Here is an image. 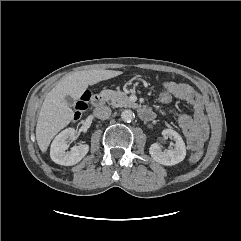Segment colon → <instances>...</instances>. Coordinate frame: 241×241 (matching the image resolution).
Returning a JSON list of instances; mask_svg holds the SVG:
<instances>
[{
	"label": "colon",
	"instance_id": "obj_1",
	"mask_svg": "<svg viewBox=\"0 0 241 241\" xmlns=\"http://www.w3.org/2000/svg\"><path fill=\"white\" fill-rule=\"evenodd\" d=\"M157 100L162 104H167L173 100V95L164 88L162 91L159 92L157 96ZM89 101V94L84 93L80 99L77 101L74 107V119L77 120L80 118L82 113L87 109ZM202 157V152L197 151L191 156V161L197 162Z\"/></svg>",
	"mask_w": 241,
	"mask_h": 241
}]
</instances>
